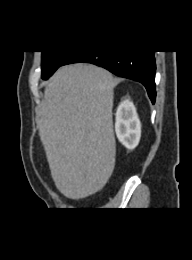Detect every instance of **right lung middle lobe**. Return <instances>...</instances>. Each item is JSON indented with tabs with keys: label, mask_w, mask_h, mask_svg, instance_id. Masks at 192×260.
I'll return each mask as SVG.
<instances>
[{
	"label": "right lung middle lobe",
	"mask_w": 192,
	"mask_h": 260,
	"mask_svg": "<svg viewBox=\"0 0 192 260\" xmlns=\"http://www.w3.org/2000/svg\"><path fill=\"white\" fill-rule=\"evenodd\" d=\"M71 52L69 51H42V79H48Z\"/></svg>",
	"instance_id": "obj_1"
}]
</instances>
